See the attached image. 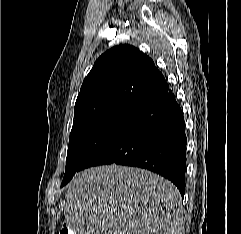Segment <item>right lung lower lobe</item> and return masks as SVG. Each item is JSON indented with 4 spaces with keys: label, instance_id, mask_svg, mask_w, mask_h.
Returning <instances> with one entry per match:
<instances>
[{
    "label": "right lung lower lobe",
    "instance_id": "1",
    "mask_svg": "<svg viewBox=\"0 0 241 234\" xmlns=\"http://www.w3.org/2000/svg\"><path fill=\"white\" fill-rule=\"evenodd\" d=\"M186 144L182 110L164 83L100 140L81 170L106 164L145 168L173 182L183 197Z\"/></svg>",
    "mask_w": 241,
    "mask_h": 234
}]
</instances>
